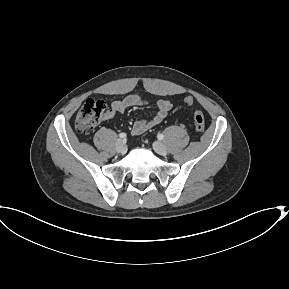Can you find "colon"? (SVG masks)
Here are the masks:
<instances>
[{
  "label": "colon",
  "mask_w": 289,
  "mask_h": 289,
  "mask_svg": "<svg viewBox=\"0 0 289 289\" xmlns=\"http://www.w3.org/2000/svg\"><path fill=\"white\" fill-rule=\"evenodd\" d=\"M188 106L194 105V99L191 96L184 98ZM106 111V104L102 100L88 99L82 105L77 113L75 126L78 131L87 133L92 131L102 119ZM194 127L197 132H203L205 129V119L201 110L195 109L193 114Z\"/></svg>",
  "instance_id": "obj_1"
}]
</instances>
